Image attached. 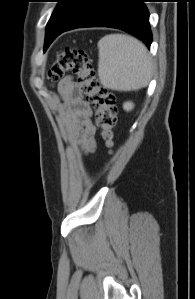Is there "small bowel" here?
Returning a JSON list of instances; mask_svg holds the SVG:
<instances>
[{
  "label": "small bowel",
  "instance_id": "c3829d8e",
  "mask_svg": "<svg viewBox=\"0 0 195 299\" xmlns=\"http://www.w3.org/2000/svg\"><path fill=\"white\" fill-rule=\"evenodd\" d=\"M59 90L67 99V122L71 137L86 153H93L96 150V128L91 122V108L83 100L79 83L70 76L65 77L59 83Z\"/></svg>",
  "mask_w": 195,
  "mask_h": 299
}]
</instances>
